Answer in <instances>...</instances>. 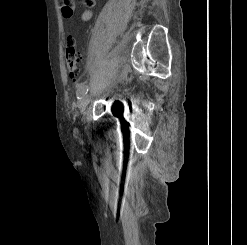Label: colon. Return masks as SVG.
<instances>
[{
  "label": "colon",
  "instance_id": "obj_1",
  "mask_svg": "<svg viewBox=\"0 0 247 245\" xmlns=\"http://www.w3.org/2000/svg\"><path fill=\"white\" fill-rule=\"evenodd\" d=\"M65 61L67 73L71 79H75L81 71V58L76 48V41L73 37H68L65 49Z\"/></svg>",
  "mask_w": 247,
  "mask_h": 245
}]
</instances>
